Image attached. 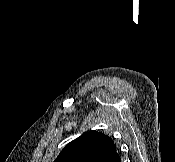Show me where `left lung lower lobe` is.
Listing matches in <instances>:
<instances>
[{
    "instance_id": "left-lung-lower-lobe-1",
    "label": "left lung lower lobe",
    "mask_w": 175,
    "mask_h": 162,
    "mask_svg": "<svg viewBox=\"0 0 175 162\" xmlns=\"http://www.w3.org/2000/svg\"><path fill=\"white\" fill-rule=\"evenodd\" d=\"M105 162H121V158L115 150Z\"/></svg>"
}]
</instances>
